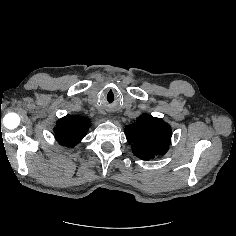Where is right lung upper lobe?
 <instances>
[{"label": "right lung upper lobe", "mask_w": 236, "mask_h": 236, "mask_svg": "<svg viewBox=\"0 0 236 236\" xmlns=\"http://www.w3.org/2000/svg\"><path fill=\"white\" fill-rule=\"evenodd\" d=\"M89 127L90 121L85 117L67 115L57 122L56 140L61 145L73 147L84 138Z\"/></svg>", "instance_id": "right-lung-upper-lobe-1"}]
</instances>
